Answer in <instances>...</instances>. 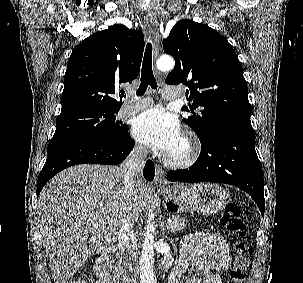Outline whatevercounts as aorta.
<instances>
[{"label":"aorta","mask_w":303,"mask_h":283,"mask_svg":"<svg viewBox=\"0 0 303 283\" xmlns=\"http://www.w3.org/2000/svg\"><path fill=\"white\" fill-rule=\"evenodd\" d=\"M157 68L161 71H169L174 67V60L170 56H161L157 60ZM155 225L148 222L144 232V242L139 258V272L141 283H157L154 273V235Z\"/></svg>","instance_id":"1"}]
</instances>
